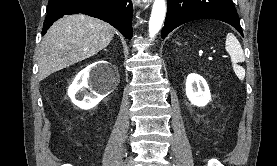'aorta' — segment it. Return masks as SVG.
<instances>
[{
  "label": "aorta",
  "instance_id": "obj_1",
  "mask_svg": "<svg viewBox=\"0 0 277 166\" xmlns=\"http://www.w3.org/2000/svg\"><path fill=\"white\" fill-rule=\"evenodd\" d=\"M166 14L165 0H154L149 21V36L154 38L162 27Z\"/></svg>",
  "mask_w": 277,
  "mask_h": 166
}]
</instances>
